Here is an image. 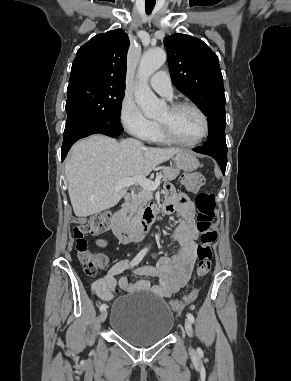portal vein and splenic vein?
<instances>
[{"label":"portal vein and splenic vein","mask_w":291,"mask_h":381,"mask_svg":"<svg viewBox=\"0 0 291 381\" xmlns=\"http://www.w3.org/2000/svg\"><path fill=\"white\" fill-rule=\"evenodd\" d=\"M163 175H158L155 181H151L146 179L145 177H132V178H124L115 183V189H121L124 187H130L132 185L138 184L145 190H156L160 183Z\"/></svg>","instance_id":"18ae733b"}]
</instances>
